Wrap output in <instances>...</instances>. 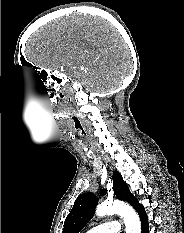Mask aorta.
<instances>
[{
  "label": "aorta",
  "mask_w": 184,
  "mask_h": 233,
  "mask_svg": "<svg viewBox=\"0 0 184 233\" xmlns=\"http://www.w3.org/2000/svg\"><path fill=\"white\" fill-rule=\"evenodd\" d=\"M115 213L123 217L124 224L126 226V233H141L139 217L130 205L122 201L115 200L102 202L96 208V215L99 217Z\"/></svg>",
  "instance_id": "aorta-1"
}]
</instances>
